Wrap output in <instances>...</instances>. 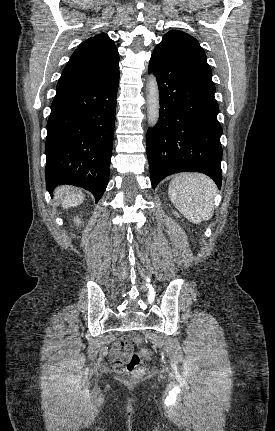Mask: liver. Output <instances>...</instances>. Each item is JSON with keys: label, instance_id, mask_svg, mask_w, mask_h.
<instances>
[{"label": "liver", "instance_id": "6515ba94", "mask_svg": "<svg viewBox=\"0 0 275 431\" xmlns=\"http://www.w3.org/2000/svg\"><path fill=\"white\" fill-rule=\"evenodd\" d=\"M56 199L61 200L62 207L68 209L80 205L84 200V194L71 186H60L55 191Z\"/></svg>", "mask_w": 275, "mask_h": 431}]
</instances>
